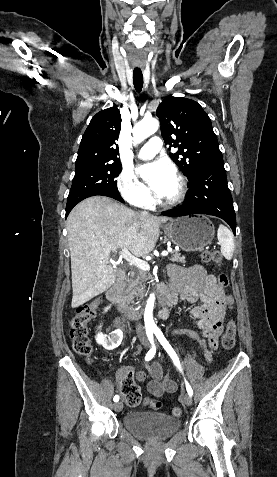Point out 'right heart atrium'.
Wrapping results in <instances>:
<instances>
[{
    "label": "right heart atrium",
    "mask_w": 277,
    "mask_h": 477,
    "mask_svg": "<svg viewBox=\"0 0 277 477\" xmlns=\"http://www.w3.org/2000/svg\"><path fill=\"white\" fill-rule=\"evenodd\" d=\"M118 190L122 198L132 206L145 208L152 203L149 191L130 169L121 171L118 177Z\"/></svg>",
    "instance_id": "1"
}]
</instances>
